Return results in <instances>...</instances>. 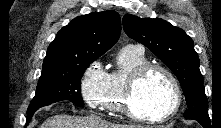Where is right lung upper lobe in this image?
Wrapping results in <instances>:
<instances>
[{"label": "right lung upper lobe", "instance_id": "1", "mask_svg": "<svg viewBox=\"0 0 221 128\" xmlns=\"http://www.w3.org/2000/svg\"><path fill=\"white\" fill-rule=\"evenodd\" d=\"M120 16L113 10L74 18L50 44L43 70L55 69L100 57L119 39Z\"/></svg>", "mask_w": 221, "mask_h": 128}]
</instances>
